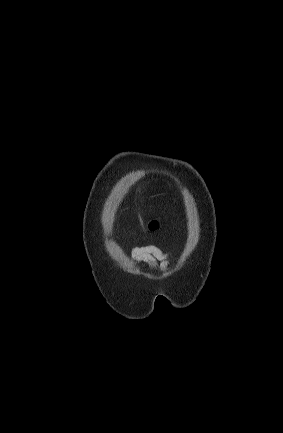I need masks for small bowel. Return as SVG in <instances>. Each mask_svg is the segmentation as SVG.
<instances>
[{
	"label": "small bowel",
	"mask_w": 283,
	"mask_h": 433,
	"mask_svg": "<svg viewBox=\"0 0 283 433\" xmlns=\"http://www.w3.org/2000/svg\"><path fill=\"white\" fill-rule=\"evenodd\" d=\"M171 252L163 251L155 245L137 246L131 250V258L135 263L147 264L152 272L170 269Z\"/></svg>",
	"instance_id": "obj_1"
}]
</instances>
